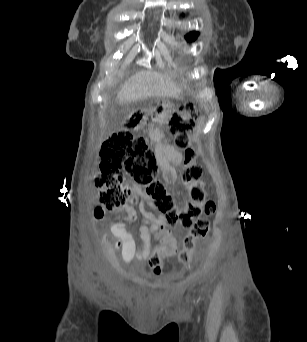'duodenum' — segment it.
Wrapping results in <instances>:
<instances>
[{
    "mask_svg": "<svg viewBox=\"0 0 307 342\" xmlns=\"http://www.w3.org/2000/svg\"><path fill=\"white\" fill-rule=\"evenodd\" d=\"M122 121L124 123L123 125H124L125 128H130L131 127V125H132L131 121L132 120H131L130 117H124Z\"/></svg>",
    "mask_w": 307,
    "mask_h": 342,
    "instance_id": "410a0bca",
    "label": "duodenum"
}]
</instances>
